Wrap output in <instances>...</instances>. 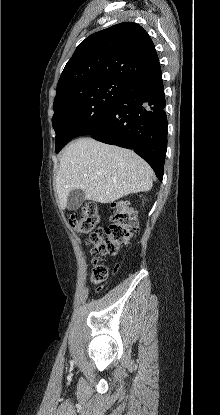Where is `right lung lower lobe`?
I'll list each match as a JSON object with an SVG mask.
<instances>
[{
  "label": "right lung lower lobe",
  "mask_w": 220,
  "mask_h": 415,
  "mask_svg": "<svg viewBox=\"0 0 220 415\" xmlns=\"http://www.w3.org/2000/svg\"><path fill=\"white\" fill-rule=\"evenodd\" d=\"M161 71L131 84L129 92L107 113L90 136L98 141L134 150L160 181L167 149V117Z\"/></svg>",
  "instance_id": "right-lung-lower-lobe-1"
}]
</instances>
